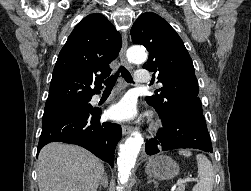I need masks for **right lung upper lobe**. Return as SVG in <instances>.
I'll return each instance as SVG.
<instances>
[{"instance_id": "cb5924a9", "label": "right lung upper lobe", "mask_w": 251, "mask_h": 191, "mask_svg": "<svg viewBox=\"0 0 251 191\" xmlns=\"http://www.w3.org/2000/svg\"><path fill=\"white\" fill-rule=\"evenodd\" d=\"M122 39L101 14L85 17L72 31L55 64L45 109L91 99L110 75ZM95 83L94 89L90 87Z\"/></svg>"}]
</instances>
